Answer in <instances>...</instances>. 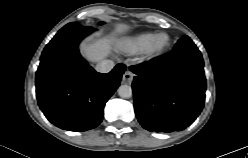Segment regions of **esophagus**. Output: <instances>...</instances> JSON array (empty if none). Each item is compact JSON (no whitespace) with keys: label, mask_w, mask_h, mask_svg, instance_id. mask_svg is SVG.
<instances>
[{"label":"esophagus","mask_w":248,"mask_h":158,"mask_svg":"<svg viewBox=\"0 0 248 158\" xmlns=\"http://www.w3.org/2000/svg\"><path fill=\"white\" fill-rule=\"evenodd\" d=\"M134 73L130 70H126L122 76V81L124 83L130 84L133 81Z\"/></svg>","instance_id":"34e87169"}]
</instances>
